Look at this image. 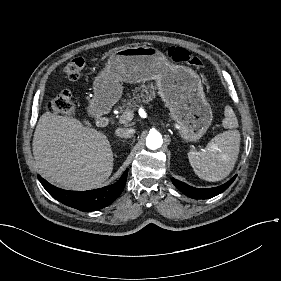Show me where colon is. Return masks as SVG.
Returning <instances> with one entry per match:
<instances>
[{
    "mask_svg": "<svg viewBox=\"0 0 281 281\" xmlns=\"http://www.w3.org/2000/svg\"><path fill=\"white\" fill-rule=\"evenodd\" d=\"M166 54L176 62L188 63L198 69L203 67V63L199 58L181 47H166ZM84 67L85 59L83 57H75L66 65L64 74L69 80H77L82 76ZM48 107L53 115H70L74 113L75 103L70 92L61 91L50 100Z\"/></svg>",
    "mask_w": 281,
    "mask_h": 281,
    "instance_id": "5ec220e1",
    "label": "colon"
}]
</instances>
